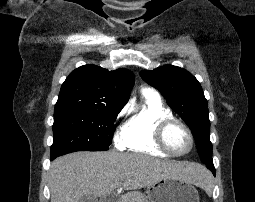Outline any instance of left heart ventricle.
<instances>
[{"mask_svg": "<svg viewBox=\"0 0 255 202\" xmlns=\"http://www.w3.org/2000/svg\"><path fill=\"white\" fill-rule=\"evenodd\" d=\"M168 146L175 152H185L190 146L186 131L179 125H173L166 134Z\"/></svg>", "mask_w": 255, "mask_h": 202, "instance_id": "left-heart-ventricle-1", "label": "left heart ventricle"}]
</instances>
